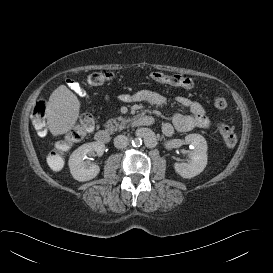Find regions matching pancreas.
<instances>
[{
    "label": "pancreas",
    "mask_w": 273,
    "mask_h": 273,
    "mask_svg": "<svg viewBox=\"0 0 273 273\" xmlns=\"http://www.w3.org/2000/svg\"><path fill=\"white\" fill-rule=\"evenodd\" d=\"M130 121L131 118H123L122 116H119L117 118L109 119L104 126L107 131L113 133L114 131L124 128V126Z\"/></svg>",
    "instance_id": "cf45deb5"
}]
</instances>
